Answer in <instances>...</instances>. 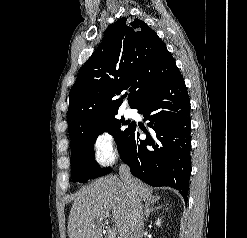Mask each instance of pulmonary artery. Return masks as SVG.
Instances as JSON below:
<instances>
[{
  "label": "pulmonary artery",
  "instance_id": "obj_1",
  "mask_svg": "<svg viewBox=\"0 0 247 238\" xmlns=\"http://www.w3.org/2000/svg\"><path fill=\"white\" fill-rule=\"evenodd\" d=\"M132 114H133V111L131 109H126L125 110V115L126 116H132Z\"/></svg>",
  "mask_w": 247,
  "mask_h": 238
}]
</instances>
